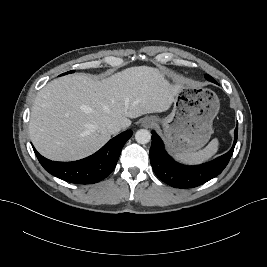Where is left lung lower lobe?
I'll return each instance as SVG.
<instances>
[{
    "mask_svg": "<svg viewBox=\"0 0 267 267\" xmlns=\"http://www.w3.org/2000/svg\"><path fill=\"white\" fill-rule=\"evenodd\" d=\"M211 81L215 82L213 79ZM151 133L150 161L157 177L175 188H194L216 177L227 166L237 142L238 126L234 131L233 146L226 154L196 166H186L175 162L164 150L160 137L154 131Z\"/></svg>",
    "mask_w": 267,
    "mask_h": 267,
    "instance_id": "obj_1",
    "label": "left lung lower lobe"
}]
</instances>
